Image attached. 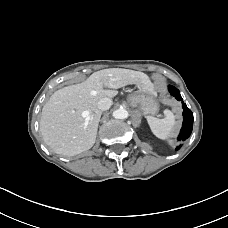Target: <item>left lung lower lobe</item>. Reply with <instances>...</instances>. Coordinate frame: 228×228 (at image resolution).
Wrapping results in <instances>:
<instances>
[{
  "mask_svg": "<svg viewBox=\"0 0 228 228\" xmlns=\"http://www.w3.org/2000/svg\"><path fill=\"white\" fill-rule=\"evenodd\" d=\"M169 92L176 97L177 100L182 101V97L180 95V92L178 89H176L174 86L169 85L168 86ZM183 107V125L182 129L180 131V134L178 136L179 140L185 141L191 134L193 129V113L192 111L186 106L184 102H182ZM181 146H178L176 150H178Z\"/></svg>",
  "mask_w": 228,
  "mask_h": 228,
  "instance_id": "left-lung-lower-lobe-1",
  "label": "left lung lower lobe"
}]
</instances>
